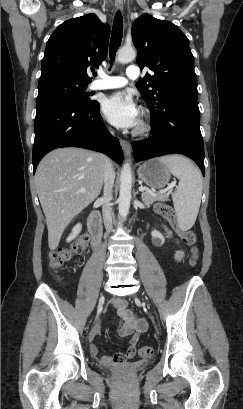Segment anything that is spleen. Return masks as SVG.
Listing matches in <instances>:
<instances>
[{
    "instance_id": "obj_1",
    "label": "spleen",
    "mask_w": 243,
    "mask_h": 409,
    "mask_svg": "<svg viewBox=\"0 0 243 409\" xmlns=\"http://www.w3.org/2000/svg\"><path fill=\"white\" fill-rule=\"evenodd\" d=\"M179 180L172 193L179 227L189 230L195 223L201 203L202 178L198 169L181 155H167L159 159Z\"/></svg>"
}]
</instances>
